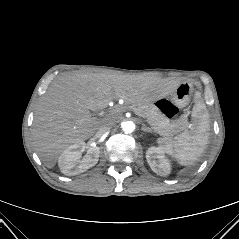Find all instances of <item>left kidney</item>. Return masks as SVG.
<instances>
[{
	"label": "left kidney",
	"instance_id": "1",
	"mask_svg": "<svg viewBox=\"0 0 239 239\" xmlns=\"http://www.w3.org/2000/svg\"><path fill=\"white\" fill-rule=\"evenodd\" d=\"M147 162L157 175L167 176L171 172L169 160L165 157L164 151L159 147H150L146 152Z\"/></svg>",
	"mask_w": 239,
	"mask_h": 239
}]
</instances>
